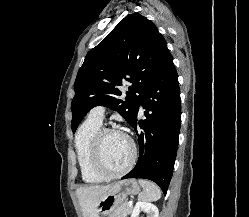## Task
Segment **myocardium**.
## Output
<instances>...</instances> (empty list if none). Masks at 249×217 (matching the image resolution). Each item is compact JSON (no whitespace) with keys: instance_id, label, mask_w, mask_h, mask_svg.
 Returning <instances> with one entry per match:
<instances>
[{"instance_id":"myocardium-1","label":"myocardium","mask_w":249,"mask_h":217,"mask_svg":"<svg viewBox=\"0 0 249 217\" xmlns=\"http://www.w3.org/2000/svg\"><path fill=\"white\" fill-rule=\"evenodd\" d=\"M114 132L120 133L126 138V140L130 145V150H131V156L128 164L123 169L116 172L109 171L105 167L102 159L103 137L108 133H114ZM136 158H137V149L133 139L127 134L123 133L122 131L111 127H101L95 134L91 149V163L95 172L100 176H102L104 179H116L122 177L132 169V167L136 162Z\"/></svg>"}]
</instances>
